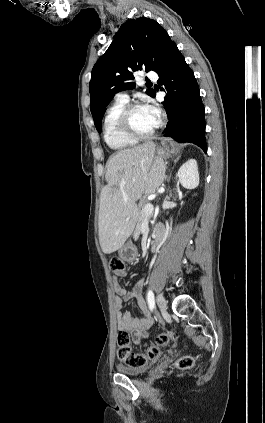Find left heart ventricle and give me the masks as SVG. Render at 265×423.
Returning a JSON list of instances; mask_svg holds the SVG:
<instances>
[{
    "mask_svg": "<svg viewBox=\"0 0 265 423\" xmlns=\"http://www.w3.org/2000/svg\"><path fill=\"white\" fill-rule=\"evenodd\" d=\"M130 122L133 129L138 133H148L152 131L158 123L146 107L135 109L130 115Z\"/></svg>",
    "mask_w": 265,
    "mask_h": 423,
    "instance_id": "left-heart-ventricle-1",
    "label": "left heart ventricle"
}]
</instances>
